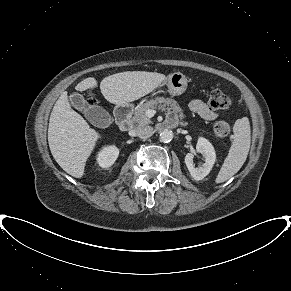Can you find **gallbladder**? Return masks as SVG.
<instances>
[{"instance_id": "gallbladder-1", "label": "gallbladder", "mask_w": 291, "mask_h": 291, "mask_svg": "<svg viewBox=\"0 0 291 291\" xmlns=\"http://www.w3.org/2000/svg\"><path fill=\"white\" fill-rule=\"evenodd\" d=\"M69 99L72 106L81 111L92 125L103 128L112 123L113 118L108 111L98 105H88L83 95L75 92L69 96Z\"/></svg>"}]
</instances>
